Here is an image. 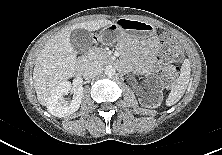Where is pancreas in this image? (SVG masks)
I'll list each match as a JSON object with an SVG mask.
<instances>
[{"mask_svg":"<svg viewBox=\"0 0 222 155\" xmlns=\"http://www.w3.org/2000/svg\"><path fill=\"white\" fill-rule=\"evenodd\" d=\"M92 55L96 62H99L101 64H107L111 62V57L108 55L107 51L103 49L94 48L92 50Z\"/></svg>","mask_w":222,"mask_h":155,"instance_id":"1","label":"pancreas"}]
</instances>
